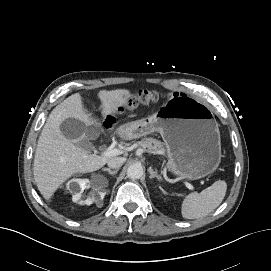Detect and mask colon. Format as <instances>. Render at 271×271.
<instances>
[{"label": "colon", "mask_w": 271, "mask_h": 271, "mask_svg": "<svg viewBox=\"0 0 271 271\" xmlns=\"http://www.w3.org/2000/svg\"><path fill=\"white\" fill-rule=\"evenodd\" d=\"M163 97V94L157 91L142 90L140 91L134 99L130 100L128 103V108L131 109L137 105H145L150 102L158 101ZM109 123V121H107Z\"/></svg>", "instance_id": "1"}]
</instances>
